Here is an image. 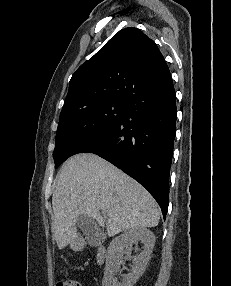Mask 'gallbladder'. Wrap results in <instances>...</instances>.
Here are the masks:
<instances>
[{"instance_id": "1", "label": "gallbladder", "mask_w": 231, "mask_h": 286, "mask_svg": "<svg viewBox=\"0 0 231 286\" xmlns=\"http://www.w3.org/2000/svg\"><path fill=\"white\" fill-rule=\"evenodd\" d=\"M75 227L82 229L85 234L98 233L97 223L93 217L85 213H79V216L76 218Z\"/></svg>"}]
</instances>
